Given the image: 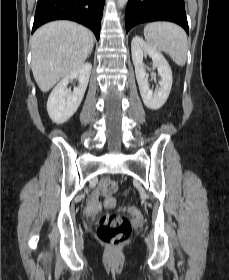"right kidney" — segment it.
<instances>
[{"label": "right kidney", "mask_w": 229, "mask_h": 280, "mask_svg": "<svg viewBox=\"0 0 229 280\" xmlns=\"http://www.w3.org/2000/svg\"><path fill=\"white\" fill-rule=\"evenodd\" d=\"M92 65L87 62L64 77L51 92L47 101V111L51 120L62 124L69 120L77 111L85 94ZM78 79V87L73 91L67 89L70 81Z\"/></svg>", "instance_id": "1"}]
</instances>
